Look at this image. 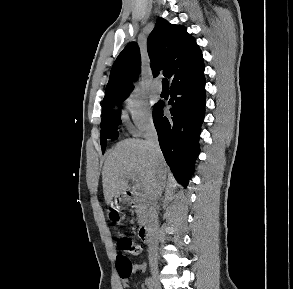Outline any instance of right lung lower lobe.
<instances>
[{"mask_svg":"<svg viewBox=\"0 0 293 289\" xmlns=\"http://www.w3.org/2000/svg\"><path fill=\"white\" fill-rule=\"evenodd\" d=\"M171 117L163 115L164 103L153 109L159 144L175 178L188 185L199 155L198 139L205 115V76L171 87Z\"/></svg>","mask_w":293,"mask_h":289,"instance_id":"1","label":"right lung lower lobe"}]
</instances>
